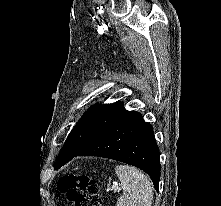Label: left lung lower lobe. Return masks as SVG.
<instances>
[{
	"instance_id": "obj_1",
	"label": "left lung lower lobe",
	"mask_w": 221,
	"mask_h": 206,
	"mask_svg": "<svg viewBox=\"0 0 221 206\" xmlns=\"http://www.w3.org/2000/svg\"><path fill=\"white\" fill-rule=\"evenodd\" d=\"M75 156L105 157L138 167L151 177L158 191L159 150L152 126L138 112L125 110Z\"/></svg>"
}]
</instances>
